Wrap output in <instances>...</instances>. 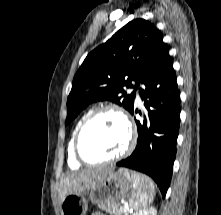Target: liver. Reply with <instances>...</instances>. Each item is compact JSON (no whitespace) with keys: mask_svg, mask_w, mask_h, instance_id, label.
<instances>
[{"mask_svg":"<svg viewBox=\"0 0 221 215\" xmlns=\"http://www.w3.org/2000/svg\"><path fill=\"white\" fill-rule=\"evenodd\" d=\"M111 171L110 168L100 167L66 175L60 183V203L69 194L89 191L94 188Z\"/></svg>","mask_w":221,"mask_h":215,"instance_id":"obj_1","label":"liver"}]
</instances>
